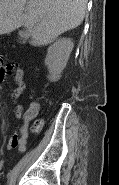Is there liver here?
<instances>
[{
	"instance_id": "1",
	"label": "liver",
	"mask_w": 119,
	"mask_h": 185,
	"mask_svg": "<svg viewBox=\"0 0 119 185\" xmlns=\"http://www.w3.org/2000/svg\"><path fill=\"white\" fill-rule=\"evenodd\" d=\"M87 0H0V35L26 27L37 46L78 27Z\"/></svg>"
}]
</instances>
